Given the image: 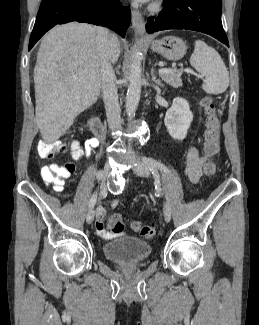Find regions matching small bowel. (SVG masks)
Returning <instances> with one entry per match:
<instances>
[{
  "instance_id": "1",
  "label": "small bowel",
  "mask_w": 259,
  "mask_h": 325,
  "mask_svg": "<svg viewBox=\"0 0 259 325\" xmlns=\"http://www.w3.org/2000/svg\"><path fill=\"white\" fill-rule=\"evenodd\" d=\"M78 145V143H76ZM99 145V139L96 137L89 138L86 140L84 149L80 148V154L75 159H80L82 156L89 157L92 151L97 148ZM79 146V145H78ZM80 147V146H79ZM215 155V154H214ZM214 155H205L200 156L199 151L195 147L189 148L186 156V164H185V173L189 178L191 183H197L203 173L205 172V166L207 163L211 162ZM52 166V165H50ZM45 166L42 168L41 173L44 169L50 167ZM112 205H117V200L112 201ZM106 215V210L104 207H99L96 213V230L97 233L103 238L112 237V233L105 229L104 219Z\"/></svg>"
}]
</instances>
